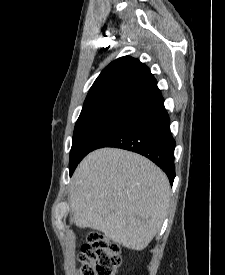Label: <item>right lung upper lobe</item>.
Listing matches in <instances>:
<instances>
[{
	"mask_svg": "<svg viewBox=\"0 0 225 275\" xmlns=\"http://www.w3.org/2000/svg\"><path fill=\"white\" fill-rule=\"evenodd\" d=\"M162 99L149 68L124 56L111 62L97 77L78 120L102 113L128 115Z\"/></svg>",
	"mask_w": 225,
	"mask_h": 275,
	"instance_id": "1",
	"label": "right lung upper lobe"
}]
</instances>
